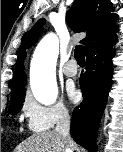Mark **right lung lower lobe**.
I'll return each instance as SVG.
<instances>
[{
  "mask_svg": "<svg viewBox=\"0 0 123 152\" xmlns=\"http://www.w3.org/2000/svg\"><path fill=\"white\" fill-rule=\"evenodd\" d=\"M113 35L106 42L86 54V72L81 75L82 103L73 111L71 136L90 152L97 151L96 137L109 89L112 83Z\"/></svg>",
  "mask_w": 123,
  "mask_h": 152,
  "instance_id": "1",
  "label": "right lung lower lobe"
}]
</instances>
